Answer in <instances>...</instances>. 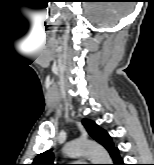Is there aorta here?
<instances>
[{
	"label": "aorta",
	"mask_w": 154,
	"mask_h": 165,
	"mask_svg": "<svg viewBox=\"0 0 154 165\" xmlns=\"http://www.w3.org/2000/svg\"><path fill=\"white\" fill-rule=\"evenodd\" d=\"M64 153L70 157L87 155L93 164H111L108 152L99 144L89 141H73L64 147Z\"/></svg>",
	"instance_id": "obj_1"
}]
</instances>
